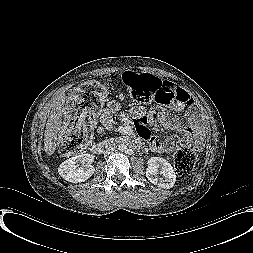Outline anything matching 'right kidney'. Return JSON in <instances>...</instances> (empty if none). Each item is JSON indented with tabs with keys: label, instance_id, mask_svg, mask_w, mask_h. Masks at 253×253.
<instances>
[{
	"label": "right kidney",
	"instance_id": "obj_1",
	"mask_svg": "<svg viewBox=\"0 0 253 253\" xmlns=\"http://www.w3.org/2000/svg\"><path fill=\"white\" fill-rule=\"evenodd\" d=\"M93 161V155L81 153L61 163L58 168V173L69 182H84L94 174L95 168L92 165Z\"/></svg>",
	"mask_w": 253,
	"mask_h": 253
}]
</instances>
